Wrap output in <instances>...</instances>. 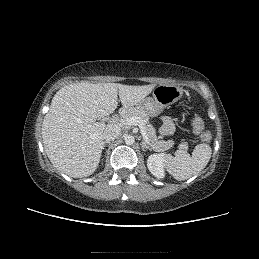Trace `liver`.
<instances>
[{"mask_svg": "<svg viewBox=\"0 0 259 259\" xmlns=\"http://www.w3.org/2000/svg\"><path fill=\"white\" fill-rule=\"evenodd\" d=\"M155 86L82 81L62 87L42 123L43 144L51 163L71 177L90 176L98 167L107 127L96 118L115 111L118 95L128 109L145 99Z\"/></svg>", "mask_w": 259, "mask_h": 259, "instance_id": "liver-1", "label": "liver"}]
</instances>
